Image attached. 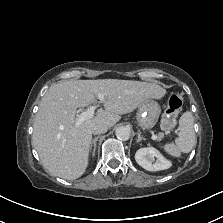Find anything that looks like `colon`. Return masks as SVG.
Instances as JSON below:
<instances>
[{"label": "colon", "mask_w": 223, "mask_h": 223, "mask_svg": "<svg viewBox=\"0 0 223 223\" xmlns=\"http://www.w3.org/2000/svg\"><path fill=\"white\" fill-rule=\"evenodd\" d=\"M181 108V98L178 95H171L162 118V126L165 130H171L172 128H174Z\"/></svg>", "instance_id": "colon-1"}]
</instances>
